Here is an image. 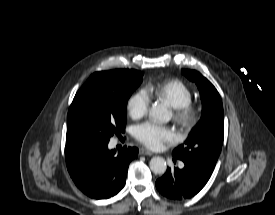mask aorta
<instances>
[{
  "label": "aorta",
  "instance_id": "1",
  "mask_svg": "<svg viewBox=\"0 0 275 215\" xmlns=\"http://www.w3.org/2000/svg\"><path fill=\"white\" fill-rule=\"evenodd\" d=\"M149 116L155 122L160 123H166L171 119L170 112L161 104L152 105L149 110ZM149 165L151 171L155 174H164L167 169L166 161L162 157H153Z\"/></svg>",
  "mask_w": 275,
  "mask_h": 215
}]
</instances>
